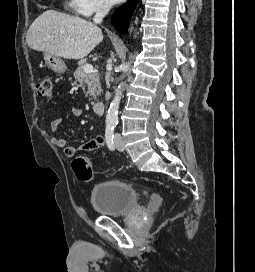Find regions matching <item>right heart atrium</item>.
<instances>
[{
	"label": "right heart atrium",
	"mask_w": 255,
	"mask_h": 272,
	"mask_svg": "<svg viewBox=\"0 0 255 272\" xmlns=\"http://www.w3.org/2000/svg\"><path fill=\"white\" fill-rule=\"evenodd\" d=\"M109 7L108 0H68L67 2L68 10L84 17L104 12Z\"/></svg>",
	"instance_id": "1"
}]
</instances>
